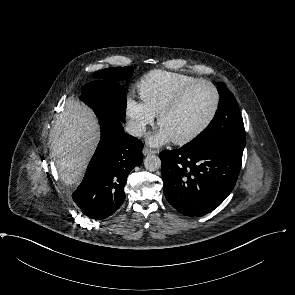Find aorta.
Listing matches in <instances>:
<instances>
[{"label": "aorta", "instance_id": "1", "mask_svg": "<svg viewBox=\"0 0 295 295\" xmlns=\"http://www.w3.org/2000/svg\"><path fill=\"white\" fill-rule=\"evenodd\" d=\"M144 166L148 171H156L161 167V160L157 155H148L144 159Z\"/></svg>", "mask_w": 295, "mask_h": 295}]
</instances>
